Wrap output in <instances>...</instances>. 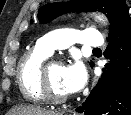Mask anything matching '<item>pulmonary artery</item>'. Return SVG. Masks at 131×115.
<instances>
[{
	"mask_svg": "<svg viewBox=\"0 0 131 115\" xmlns=\"http://www.w3.org/2000/svg\"><path fill=\"white\" fill-rule=\"evenodd\" d=\"M75 42L89 47H101L104 45L100 31L94 28L55 30L41 37L37 45L51 55L55 49L65 48Z\"/></svg>",
	"mask_w": 131,
	"mask_h": 115,
	"instance_id": "1",
	"label": "pulmonary artery"
}]
</instances>
